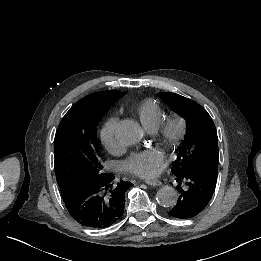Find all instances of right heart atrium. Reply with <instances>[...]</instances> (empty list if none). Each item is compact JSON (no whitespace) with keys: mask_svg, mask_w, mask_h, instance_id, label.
<instances>
[{"mask_svg":"<svg viewBox=\"0 0 261 261\" xmlns=\"http://www.w3.org/2000/svg\"><path fill=\"white\" fill-rule=\"evenodd\" d=\"M118 123V117L113 115L105 123L101 132V141L105 150L112 154H118L121 151V146L114 137V128Z\"/></svg>","mask_w":261,"mask_h":261,"instance_id":"obj_1","label":"right heart atrium"}]
</instances>
